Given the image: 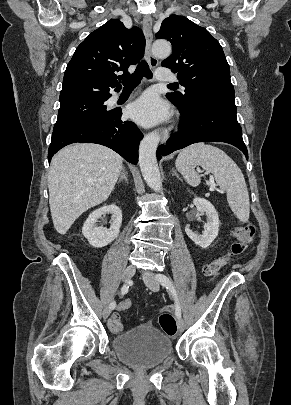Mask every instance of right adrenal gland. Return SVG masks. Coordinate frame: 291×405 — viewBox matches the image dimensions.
<instances>
[{"mask_svg": "<svg viewBox=\"0 0 291 405\" xmlns=\"http://www.w3.org/2000/svg\"><path fill=\"white\" fill-rule=\"evenodd\" d=\"M123 180H125V182L128 183L127 171H126L124 166L122 167V173L120 175V178H119L118 182H121Z\"/></svg>", "mask_w": 291, "mask_h": 405, "instance_id": "1", "label": "right adrenal gland"}]
</instances>
